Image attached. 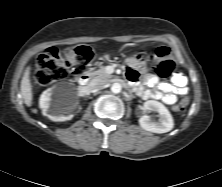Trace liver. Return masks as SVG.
<instances>
[{"label":"liver","instance_id":"obj_1","mask_svg":"<svg viewBox=\"0 0 222 187\" xmlns=\"http://www.w3.org/2000/svg\"><path fill=\"white\" fill-rule=\"evenodd\" d=\"M20 89L24 103L26 104V106L30 107L33 100L32 86L30 81V66H28L24 71Z\"/></svg>","mask_w":222,"mask_h":187}]
</instances>
